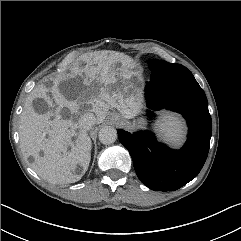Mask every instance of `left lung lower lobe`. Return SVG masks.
I'll return each mask as SVG.
<instances>
[{"mask_svg":"<svg viewBox=\"0 0 241 241\" xmlns=\"http://www.w3.org/2000/svg\"><path fill=\"white\" fill-rule=\"evenodd\" d=\"M146 99L151 110L166 108L183 115L189 127L186 144L172 150L149 131L119 130V141L128 149L143 184L155 191L177 190L198 175L208 155L212 122L206 95L198 83L172 93L166 77L154 70L146 85Z\"/></svg>","mask_w":241,"mask_h":241,"instance_id":"obj_1","label":"left lung lower lobe"}]
</instances>
